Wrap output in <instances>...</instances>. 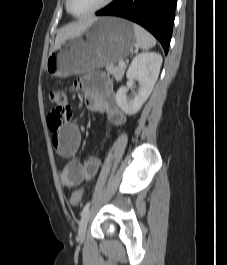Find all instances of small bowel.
I'll return each instance as SVG.
<instances>
[{"label":"small bowel","mask_w":227,"mask_h":265,"mask_svg":"<svg viewBox=\"0 0 227 265\" xmlns=\"http://www.w3.org/2000/svg\"><path fill=\"white\" fill-rule=\"evenodd\" d=\"M78 87L84 93L85 105L89 111L106 115L109 123L114 126L125 125L126 115L115 101L114 91L106 72H88L78 83ZM51 140L60 157L71 159L61 173L65 186L76 187L97 174L100 167L99 158L89 157L83 162L73 159L81 143V133L76 123H68L57 132H53Z\"/></svg>","instance_id":"obj_1"}]
</instances>
